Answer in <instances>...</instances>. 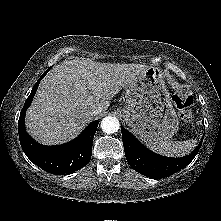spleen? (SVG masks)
<instances>
[{"mask_svg":"<svg viewBox=\"0 0 221 221\" xmlns=\"http://www.w3.org/2000/svg\"><path fill=\"white\" fill-rule=\"evenodd\" d=\"M195 139L186 141L147 142V146L156 153L168 157H182L189 154L195 147Z\"/></svg>","mask_w":221,"mask_h":221,"instance_id":"obj_1","label":"spleen"}]
</instances>
